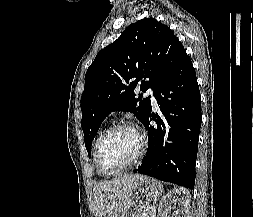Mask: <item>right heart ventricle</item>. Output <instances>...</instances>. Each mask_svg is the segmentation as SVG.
<instances>
[{"instance_id":"1","label":"right heart ventricle","mask_w":253,"mask_h":217,"mask_svg":"<svg viewBox=\"0 0 253 217\" xmlns=\"http://www.w3.org/2000/svg\"><path fill=\"white\" fill-rule=\"evenodd\" d=\"M98 140L96 141L95 146H94V156H95V150H96V146H97Z\"/></svg>"}]
</instances>
